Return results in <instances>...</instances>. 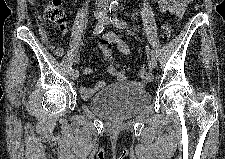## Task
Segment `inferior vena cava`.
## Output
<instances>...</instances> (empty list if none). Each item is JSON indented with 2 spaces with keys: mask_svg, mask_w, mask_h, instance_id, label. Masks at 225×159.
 Returning <instances> with one entry per match:
<instances>
[{
  "mask_svg": "<svg viewBox=\"0 0 225 159\" xmlns=\"http://www.w3.org/2000/svg\"><path fill=\"white\" fill-rule=\"evenodd\" d=\"M98 6H108V0H96Z\"/></svg>",
  "mask_w": 225,
  "mask_h": 159,
  "instance_id": "1",
  "label": "inferior vena cava"
}]
</instances>
